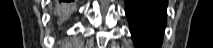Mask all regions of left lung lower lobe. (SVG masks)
Instances as JSON below:
<instances>
[{"instance_id":"obj_1","label":"left lung lower lobe","mask_w":213,"mask_h":48,"mask_svg":"<svg viewBox=\"0 0 213 48\" xmlns=\"http://www.w3.org/2000/svg\"><path fill=\"white\" fill-rule=\"evenodd\" d=\"M167 0H125L136 48H159L166 26Z\"/></svg>"}]
</instances>
